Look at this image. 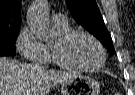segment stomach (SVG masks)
<instances>
[{
  "mask_svg": "<svg viewBox=\"0 0 135 95\" xmlns=\"http://www.w3.org/2000/svg\"><path fill=\"white\" fill-rule=\"evenodd\" d=\"M62 95H99V83L87 76L77 74L64 81L61 85Z\"/></svg>",
  "mask_w": 135,
  "mask_h": 95,
  "instance_id": "0dacf381",
  "label": "stomach"
}]
</instances>
